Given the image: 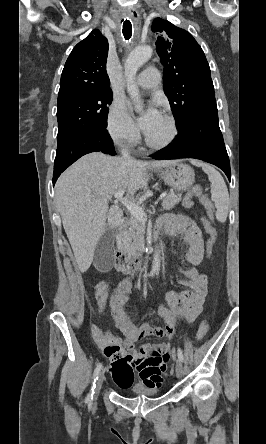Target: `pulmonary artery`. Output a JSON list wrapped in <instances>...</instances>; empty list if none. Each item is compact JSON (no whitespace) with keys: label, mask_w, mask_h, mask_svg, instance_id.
<instances>
[{"label":"pulmonary artery","mask_w":266,"mask_h":444,"mask_svg":"<svg viewBox=\"0 0 266 444\" xmlns=\"http://www.w3.org/2000/svg\"><path fill=\"white\" fill-rule=\"evenodd\" d=\"M161 82V73L156 67H147L135 80V83L146 89L155 88Z\"/></svg>","instance_id":"e3ab8cb5"}]
</instances>
